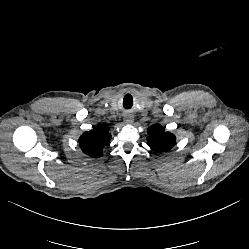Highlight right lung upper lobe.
<instances>
[{"label": "right lung upper lobe", "mask_w": 249, "mask_h": 249, "mask_svg": "<svg viewBox=\"0 0 249 249\" xmlns=\"http://www.w3.org/2000/svg\"><path fill=\"white\" fill-rule=\"evenodd\" d=\"M111 135L107 125L98 124L93 130L85 132L79 138L82 151L91 157H100L103 149L110 142Z\"/></svg>", "instance_id": "right-lung-upper-lobe-1"}]
</instances>
